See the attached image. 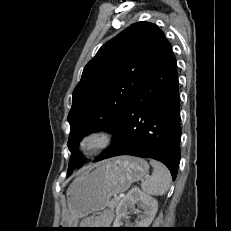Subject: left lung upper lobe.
Instances as JSON below:
<instances>
[{"label":"left lung upper lobe","instance_id":"left-lung-upper-lobe-1","mask_svg":"<svg viewBox=\"0 0 231 231\" xmlns=\"http://www.w3.org/2000/svg\"><path fill=\"white\" fill-rule=\"evenodd\" d=\"M165 41L157 25L137 22L104 44L85 66L68 115V176L83 159L76 152L80 140L97 130L113 131Z\"/></svg>","mask_w":231,"mask_h":231}]
</instances>
